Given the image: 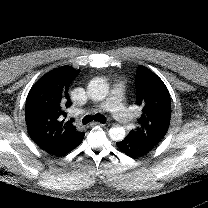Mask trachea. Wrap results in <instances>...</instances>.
Instances as JSON below:
<instances>
[{"label": "trachea", "instance_id": "1", "mask_svg": "<svg viewBox=\"0 0 208 208\" xmlns=\"http://www.w3.org/2000/svg\"><path fill=\"white\" fill-rule=\"evenodd\" d=\"M98 121V122H101V123H104L106 121L105 117L100 115V114H95L93 116H90V115H86L83 119H82V123L83 125H86L87 123L91 122V121ZM71 121L73 122L74 119H71Z\"/></svg>", "mask_w": 208, "mask_h": 208}]
</instances>
